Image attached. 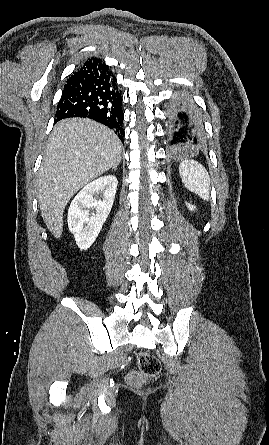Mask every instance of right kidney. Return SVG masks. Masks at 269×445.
I'll return each instance as SVG.
<instances>
[{
  "instance_id": "right-kidney-1",
  "label": "right kidney",
  "mask_w": 269,
  "mask_h": 445,
  "mask_svg": "<svg viewBox=\"0 0 269 445\" xmlns=\"http://www.w3.org/2000/svg\"><path fill=\"white\" fill-rule=\"evenodd\" d=\"M117 184V178L113 175L100 177L87 184L72 200L68 210V227L80 249L87 250L99 235L111 211ZM99 191L103 192V198L96 200L94 194ZM89 208H95L96 213L90 215Z\"/></svg>"
}]
</instances>
